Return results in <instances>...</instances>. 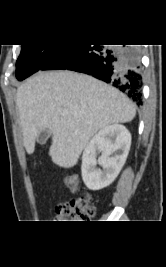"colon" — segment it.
Here are the masks:
<instances>
[{
    "label": "colon",
    "instance_id": "obj_1",
    "mask_svg": "<svg viewBox=\"0 0 166 267\" xmlns=\"http://www.w3.org/2000/svg\"><path fill=\"white\" fill-rule=\"evenodd\" d=\"M69 178L77 185L75 178ZM57 215L58 221L56 222L59 223L87 220L95 215V206L88 195L81 196L58 204Z\"/></svg>",
    "mask_w": 166,
    "mask_h": 267
}]
</instances>
